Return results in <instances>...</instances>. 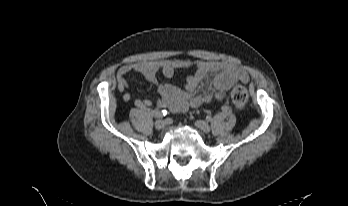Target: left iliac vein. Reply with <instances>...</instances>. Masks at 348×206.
<instances>
[{"mask_svg": "<svg viewBox=\"0 0 348 206\" xmlns=\"http://www.w3.org/2000/svg\"><path fill=\"white\" fill-rule=\"evenodd\" d=\"M195 126L201 130L204 133H209L210 132V126L207 122L203 121V120H197L195 122Z\"/></svg>", "mask_w": 348, "mask_h": 206, "instance_id": "1", "label": "left iliac vein"}]
</instances>
